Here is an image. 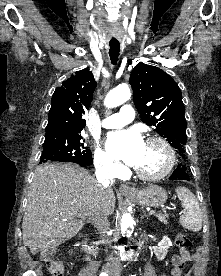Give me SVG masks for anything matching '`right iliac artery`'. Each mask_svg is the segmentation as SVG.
I'll return each mask as SVG.
<instances>
[{
  "instance_id": "obj_1",
  "label": "right iliac artery",
  "mask_w": 221,
  "mask_h": 276,
  "mask_svg": "<svg viewBox=\"0 0 221 276\" xmlns=\"http://www.w3.org/2000/svg\"><path fill=\"white\" fill-rule=\"evenodd\" d=\"M100 276H108L106 273H101Z\"/></svg>"
}]
</instances>
